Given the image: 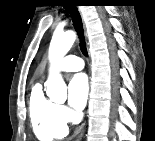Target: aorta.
<instances>
[{
    "label": "aorta",
    "instance_id": "obj_1",
    "mask_svg": "<svg viewBox=\"0 0 155 141\" xmlns=\"http://www.w3.org/2000/svg\"><path fill=\"white\" fill-rule=\"evenodd\" d=\"M75 39L73 31L56 32L52 36L49 46V60L52 66L46 82L47 95L52 101L64 102L67 99L66 84L55 65L67 54Z\"/></svg>",
    "mask_w": 155,
    "mask_h": 141
}]
</instances>
